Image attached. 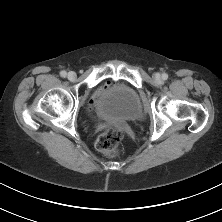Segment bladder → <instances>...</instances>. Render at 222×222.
<instances>
[{
  "instance_id": "1",
  "label": "bladder",
  "mask_w": 222,
  "mask_h": 222,
  "mask_svg": "<svg viewBox=\"0 0 222 222\" xmlns=\"http://www.w3.org/2000/svg\"><path fill=\"white\" fill-rule=\"evenodd\" d=\"M95 111L100 118L106 120L135 121L143 117L138 94L126 85L110 87L96 101Z\"/></svg>"
}]
</instances>
